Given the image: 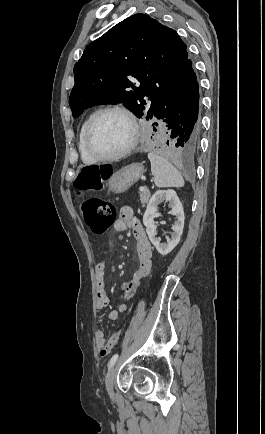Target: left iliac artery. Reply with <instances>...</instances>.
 <instances>
[{
  "label": "left iliac artery",
  "instance_id": "44dca946",
  "mask_svg": "<svg viewBox=\"0 0 265 434\" xmlns=\"http://www.w3.org/2000/svg\"><path fill=\"white\" fill-rule=\"evenodd\" d=\"M119 355L118 354H114L110 361L108 362V367L111 368L114 366V364L116 363V361L118 360Z\"/></svg>",
  "mask_w": 265,
  "mask_h": 434
}]
</instances>
